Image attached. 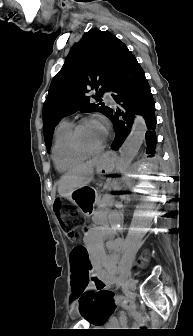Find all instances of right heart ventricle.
I'll use <instances>...</instances> for the list:
<instances>
[{"mask_svg":"<svg viewBox=\"0 0 193 336\" xmlns=\"http://www.w3.org/2000/svg\"><path fill=\"white\" fill-rule=\"evenodd\" d=\"M72 128V123L65 121L58 125L54 133L52 158L57 170L60 172L73 170L86 158L75 152L71 147L70 133Z\"/></svg>","mask_w":193,"mask_h":336,"instance_id":"obj_1","label":"right heart ventricle"}]
</instances>
